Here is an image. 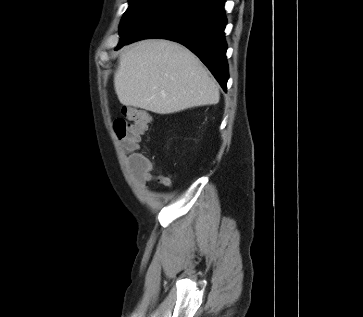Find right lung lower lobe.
Here are the masks:
<instances>
[{"instance_id": "1", "label": "right lung lower lobe", "mask_w": 363, "mask_h": 317, "mask_svg": "<svg viewBox=\"0 0 363 317\" xmlns=\"http://www.w3.org/2000/svg\"><path fill=\"white\" fill-rule=\"evenodd\" d=\"M225 0H180L148 21L125 44L146 38L179 42L195 53L226 91Z\"/></svg>"}]
</instances>
